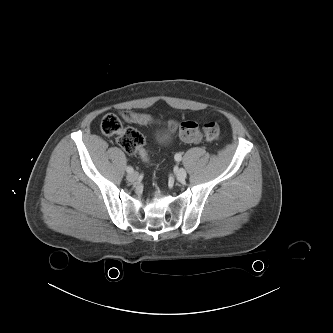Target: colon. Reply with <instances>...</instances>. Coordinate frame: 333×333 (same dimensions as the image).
<instances>
[{
    "mask_svg": "<svg viewBox=\"0 0 333 333\" xmlns=\"http://www.w3.org/2000/svg\"><path fill=\"white\" fill-rule=\"evenodd\" d=\"M123 118L132 123L147 124L152 119L143 114L125 112ZM169 129L177 132L179 137L190 143L202 140L212 141L219 137L220 127L217 122L210 121L203 125L202 129L193 121L182 123L170 122ZM101 131L107 136H116L118 144L129 154H137L143 160H148V155L144 149L145 139L143 135L133 127L123 128L120 118L113 114H106L101 121Z\"/></svg>",
    "mask_w": 333,
    "mask_h": 333,
    "instance_id": "5ec220e1",
    "label": "colon"
}]
</instances>
